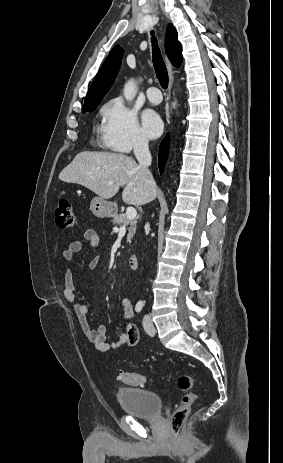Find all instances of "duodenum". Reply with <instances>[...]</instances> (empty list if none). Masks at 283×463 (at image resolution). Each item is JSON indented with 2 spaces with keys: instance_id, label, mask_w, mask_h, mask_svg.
<instances>
[{
  "instance_id": "duodenum-1",
  "label": "duodenum",
  "mask_w": 283,
  "mask_h": 463,
  "mask_svg": "<svg viewBox=\"0 0 283 463\" xmlns=\"http://www.w3.org/2000/svg\"><path fill=\"white\" fill-rule=\"evenodd\" d=\"M129 266L132 270H135L138 268V257L137 256H130L129 258Z\"/></svg>"
}]
</instances>
